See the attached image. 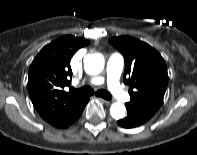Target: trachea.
Segmentation results:
<instances>
[{
    "mask_svg": "<svg viewBox=\"0 0 197 155\" xmlns=\"http://www.w3.org/2000/svg\"><path fill=\"white\" fill-rule=\"evenodd\" d=\"M72 91L75 93H78V94L88 95V96H91L95 93L94 90L89 86H85L80 89L72 88ZM95 94L99 97L106 99V100H110L112 98V95L106 90H98Z\"/></svg>",
    "mask_w": 197,
    "mask_h": 155,
    "instance_id": "3493384b",
    "label": "trachea"
}]
</instances>
